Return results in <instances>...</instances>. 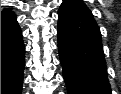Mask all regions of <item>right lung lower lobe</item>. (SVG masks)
Returning <instances> with one entry per match:
<instances>
[{"label": "right lung lower lobe", "instance_id": "obj_1", "mask_svg": "<svg viewBox=\"0 0 121 94\" xmlns=\"http://www.w3.org/2000/svg\"><path fill=\"white\" fill-rule=\"evenodd\" d=\"M25 66V46L16 16L1 12V94H21Z\"/></svg>", "mask_w": 121, "mask_h": 94}]
</instances>
